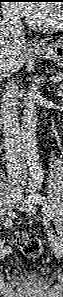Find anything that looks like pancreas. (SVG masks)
Segmentation results:
<instances>
[{
  "label": "pancreas",
  "instance_id": "1",
  "mask_svg": "<svg viewBox=\"0 0 63 297\" xmlns=\"http://www.w3.org/2000/svg\"><path fill=\"white\" fill-rule=\"evenodd\" d=\"M56 76H58V77H61V78H63V73H61V72H57L56 73ZM63 80V79H62ZM58 83H61V81H57Z\"/></svg>",
  "mask_w": 63,
  "mask_h": 297
}]
</instances>
